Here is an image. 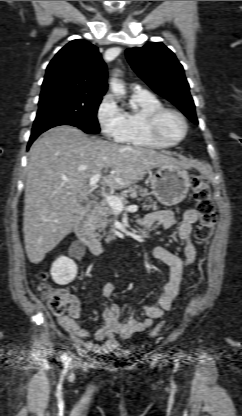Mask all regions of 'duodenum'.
I'll return each instance as SVG.
<instances>
[{"label": "duodenum", "mask_w": 242, "mask_h": 416, "mask_svg": "<svg viewBox=\"0 0 242 416\" xmlns=\"http://www.w3.org/2000/svg\"><path fill=\"white\" fill-rule=\"evenodd\" d=\"M97 208V202H89L85 213L82 214L76 222L75 232L77 237L88 247L93 255L102 256L106 254L108 248L93 234L90 222L91 215Z\"/></svg>", "instance_id": "obj_1"}]
</instances>
